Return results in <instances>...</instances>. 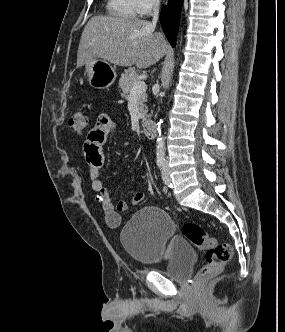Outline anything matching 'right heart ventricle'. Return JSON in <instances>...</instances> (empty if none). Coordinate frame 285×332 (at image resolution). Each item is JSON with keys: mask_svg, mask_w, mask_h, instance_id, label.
<instances>
[{"mask_svg": "<svg viewBox=\"0 0 285 332\" xmlns=\"http://www.w3.org/2000/svg\"><path fill=\"white\" fill-rule=\"evenodd\" d=\"M107 13L111 16L133 19L137 15L135 0H107Z\"/></svg>", "mask_w": 285, "mask_h": 332, "instance_id": "obj_1", "label": "right heart ventricle"}]
</instances>
